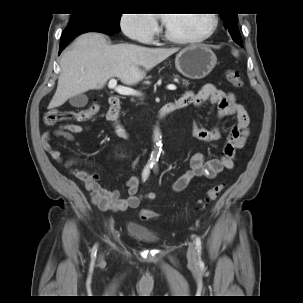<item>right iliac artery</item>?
Segmentation results:
<instances>
[{
  "label": "right iliac artery",
  "mask_w": 303,
  "mask_h": 303,
  "mask_svg": "<svg viewBox=\"0 0 303 303\" xmlns=\"http://www.w3.org/2000/svg\"><path fill=\"white\" fill-rule=\"evenodd\" d=\"M150 168H152V166L147 165L143 170L142 177H143L144 181L147 179V177L150 173ZM96 252H97V245H94V247L92 249V254H91L92 259H94L96 257Z\"/></svg>",
  "instance_id": "82829eb1"
}]
</instances>
